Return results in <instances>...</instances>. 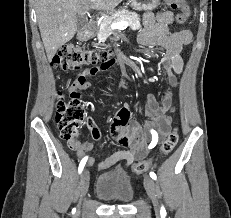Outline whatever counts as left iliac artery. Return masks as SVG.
Wrapping results in <instances>:
<instances>
[{"mask_svg":"<svg viewBox=\"0 0 231 218\" xmlns=\"http://www.w3.org/2000/svg\"><path fill=\"white\" fill-rule=\"evenodd\" d=\"M150 132H151V134H152V141H151V143L149 144L148 148H149V149H152V148H154V147L156 146V144H157V142H158V134H157V132H156L155 130H153V129H152ZM150 177H151L152 179H154V180L157 179V176H156V174H155L154 172H150ZM161 213H162V214L166 213L165 208H164L163 206L161 207Z\"/></svg>","mask_w":231,"mask_h":218,"instance_id":"obj_1","label":"left iliac artery"}]
</instances>
